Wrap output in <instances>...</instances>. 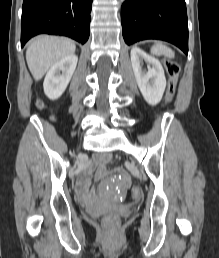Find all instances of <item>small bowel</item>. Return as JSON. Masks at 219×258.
I'll use <instances>...</instances> for the list:
<instances>
[{"mask_svg": "<svg viewBox=\"0 0 219 258\" xmlns=\"http://www.w3.org/2000/svg\"><path fill=\"white\" fill-rule=\"evenodd\" d=\"M110 155L103 154L93 159L92 165L97 167L96 178L102 180L105 176V165L109 161ZM115 172H122L123 175L122 184H132V179H128V176L124 173V167H115ZM90 185V173H86L79 183V192L82 198L91 200L92 195L89 191Z\"/></svg>", "mask_w": 219, "mask_h": 258, "instance_id": "small-bowel-1", "label": "small bowel"}]
</instances>
